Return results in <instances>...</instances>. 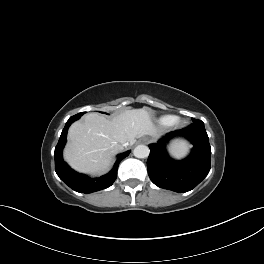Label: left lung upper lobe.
<instances>
[{
  "instance_id": "left-lung-upper-lobe-1",
  "label": "left lung upper lobe",
  "mask_w": 264,
  "mask_h": 264,
  "mask_svg": "<svg viewBox=\"0 0 264 264\" xmlns=\"http://www.w3.org/2000/svg\"><path fill=\"white\" fill-rule=\"evenodd\" d=\"M192 120H193V123L202 122V121H200L198 119H192Z\"/></svg>"
}]
</instances>
